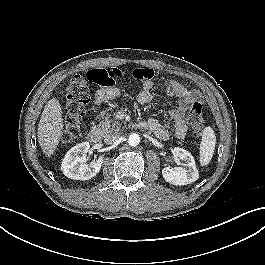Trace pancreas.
<instances>
[{
  "instance_id": "cf45deb5",
  "label": "pancreas",
  "mask_w": 265,
  "mask_h": 265,
  "mask_svg": "<svg viewBox=\"0 0 265 265\" xmlns=\"http://www.w3.org/2000/svg\"><path fill=\"white\" fill-rule=\"evenodd\" d=\"M97 127L101 131V134L103 136H107L112 132H119L121 128V123L116 119H109L108 117H105V119H102L100 121V124Z\"/></svg>"
}]
</instances>
